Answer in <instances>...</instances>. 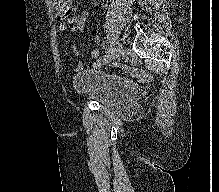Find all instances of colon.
<instances>
[{
	"label": "colon",
	"mask_w": 219,
	"mask_h": 192,
	"mask_svg": "<svg viewBox=\"0 0 219 192\" xmlns=\"http://www.w3.org/2000/svg\"><path fill=\"white\" fill-rule=\"evenodd\" d=\"M53 1L56 7L62 6L65 3V0H53Z\"/></svg>",
	"instance_id": "1"
}]
</instances>
